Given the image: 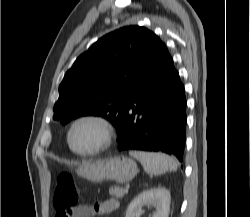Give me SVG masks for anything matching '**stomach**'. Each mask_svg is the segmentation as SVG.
Listing matches in <instances>:
<instances>
[{
    "instance_id": "0dacf381",
    "label": "stomach",
    "mask_w": 250,
    "mask_h": 217,
    "mask_svg": "<svg viewBox=\"0 0 250 217\" xmlns=\"http://www.w3.org/2000/svg\"><path fill=\"white\" fill-rule=\"evenodd\" d=\"M137 172V164L128 157L85 162L77 170L80 176L94 183L113 180L120 184L131 181Z\"/></svg>"
}]
</instances>
